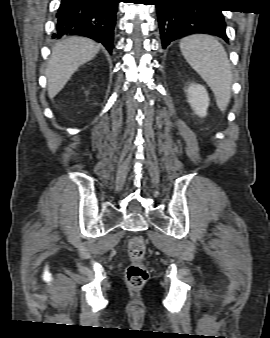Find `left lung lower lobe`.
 I'll list each match as a JSON object with an SVG mask.
<instances>
[{"instance_id":"obj_1","label":"left lung lower lobe","mask_w":270,"mask_h":338,"mask_svg":"<svg viewBox=\"0 0 270 338\" xmlns=\"http://www.w3.org/2000/svg\"><path fill=\"white\" fill-rule=\"evenodd\" d=\"M163 48L195 33L216 35L228 42L226 24L215 0H155Z\"/></svg>"}]
</instances>
